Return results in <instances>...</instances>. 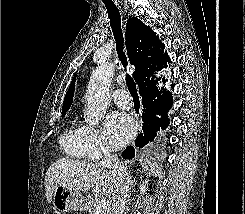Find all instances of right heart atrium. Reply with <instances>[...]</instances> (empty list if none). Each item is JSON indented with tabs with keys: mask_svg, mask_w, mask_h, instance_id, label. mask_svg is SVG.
I'll return each instance as SVG.
<instances>
[{
	"mask_svg": "<svg viewBox=\"0 0 245 214\" xmlns=\"http://www.w3.org/2000/svg\"><path fill=\"white\" fill-rule=\"evenodd\" d=\"M83 137L86 158L97 160L103 155L108 154V149L98 128L93 126H84Z\"/></svg>",
	"mask_w": 245,
	"mask_h": 214,
	"instance_id": "d8ad5b80",
	"label": "right heart atrium"
}]
</instances>
